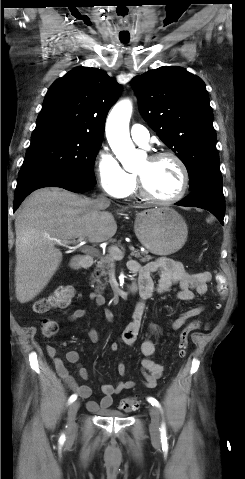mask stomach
<instances>
[{"instance_id": "stomach-1", "label": "stomach", "mask_w": 245, "mask_h": 479, "mask_svg": "<svg viewBox=\"0 0 245 479\" xmlns=\"http://www.w3.org/2000/svg\"><path fill=\"white\" fill-rule=\"evenodd\" d=\"M134 231L141 244L156 255L177 252L185 244L188 235L185 220L168 207L151 208L137 213Z\"/></svg>"}]
</instances>
